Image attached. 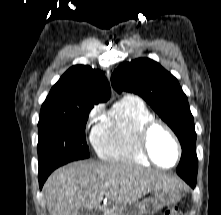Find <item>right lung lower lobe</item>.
Wrapping results in <instances>:
<instances>
[{
	"label": "right lung lower lobe",
	"mask_w": 221,
	"mask_h": 215,
	"mask_svg": "<svg viewBox=\"0 0 221 215\" xmlns=\"http://www.w3.org/2000/svg\"><path fill=\"white\" fill-rule=\"evenodd\" d=\"M57 168H58V167H57ZM54 169H56V168L39 171V186H40V189L42 188L44 182L46 181V179L48 178V176L50 175V173H51Z\"/></svg>",
	"instance_id": "obj_1"
}]
</instances>
